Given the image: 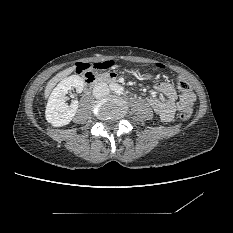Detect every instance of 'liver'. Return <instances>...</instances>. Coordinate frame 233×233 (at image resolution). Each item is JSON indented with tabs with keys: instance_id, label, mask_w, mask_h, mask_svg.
Returning a JSON list of instances; mask_svg holds the SVG:
<instances>
[{
	"instance_id": "6515ba94",
	"label": "liver",
	"mask_w": 233,
	"mask_h": 233,
	"mask_svg": "<svg viewBox=\"0 0 233 233\" xmlns=\"http://www.w3.org/2000/svg\"><path fill=\"white\" fill-rule=\"evenodd\" d=\"M75 68L69 67L61 72H59L56 76H54L47 84L45 88V97H48L53 87L57 84L58 81H60L63 77L71 74Z\"/></svg>"
}]
</instances>
